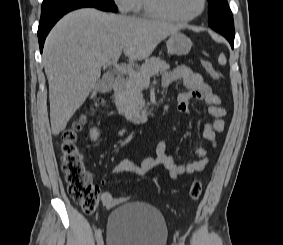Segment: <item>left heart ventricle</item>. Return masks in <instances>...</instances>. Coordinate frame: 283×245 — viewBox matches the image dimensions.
Instances as JSON below:
<instances>
[{
  "instance_id": "b2bd125f",
  "label": "left heart ventricle",
  "mask_w": 283,
  "mask_h": 245,
  "mask_svg": "<svg viewBox=\"0 0 283 245\" xmlns=\"http://www.w3.org/2000/svg\"><path fill=\"white\" fill-rule=\"evenodd\" d=\"M166 10L176 17H189L198 12L201 0H164Z\"/></svg>"
}]
</instances>
